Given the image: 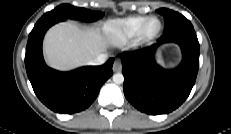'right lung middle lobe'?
Returning a JSON list of instances; mask_svg holds the SVG:
<instances>
[{
    "instance_id": "dd1d6c3e",
    "label": "right lung middle lobe",
    "mask_w": 231,
    "mask_h": 134,
    "mask_svg": "<svg viewBox=\"0 0 231 134\" xmlns=\"http://www.w3.org/2000/svg\"><path fill=\"white\" fill-rule=\"evenodd\" d=\"M103 14L98 11H90L84 8L74 7L69 4H62L54 10L45 13L38 22L43 21H63L64 19L71 18L86 22H93L99 20Z\"/></svg>"
}]
</instances>
